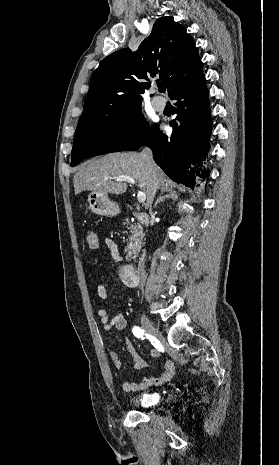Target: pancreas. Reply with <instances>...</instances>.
<instances>
[{"mask_svg": "<svg viewBox=\"0 0 279 465\" xmlns=\"http://www.w3.org/2000/svg\"><path fill=\"white\" fill-rule=\"evenodd\" d=\"M127 225H130L128 229H130V236L129 242L125 248V253H127V257H131L133 254H136L137 250L141 247L144 233L143 228L139 223L131 224L129 219H125Z\"/></svg>", "mask_w": 279, "mask_h": 465, "instance_id": "obj_1", "label": "pancreas"}]
</instances>
